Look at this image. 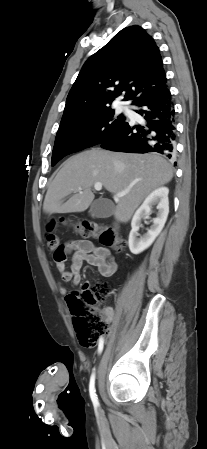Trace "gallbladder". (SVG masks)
I'll return each mask as SVG.
<instances>
[{
    "label": "gallbladder",
    "instance_id": "1",
    "mask_svg": "<svg viewBox=\"0 0 207 449\" xmlns=\"http://www.w3.org/2000/svg\"><path fill=\"white\" fill-rule=\"evenodd\" d=\"M114 212V205L108 199L99 198L90 207V213L97 218L110 217Z\"/></svg>",
    "mask_w": 207,
    "mask_h": 449
}]
</instances>
